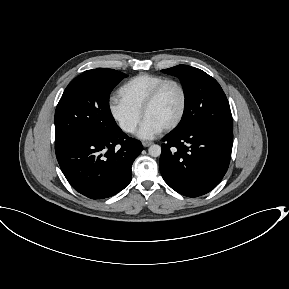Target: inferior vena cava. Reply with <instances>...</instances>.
<instances>
[{
	"mask_svg": "<svg viewBox=\"0 0 289 289\" xmlns=\"http://www.w3.org/2000/svg\"><path fill=\"white\" fill-rule=\"evenodd\" d=\"M134 130H135V126H133V125H130L126 128L127 132H134Z\"/></svg>",
	"mask_w": 289,
	"mask_h": 289,
	"instance_id": "1",
	"label": "inferior vena cava"
}]
</instances>
